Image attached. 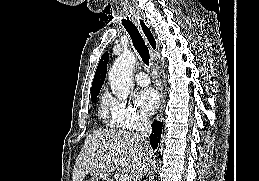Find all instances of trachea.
Returning a JSON list of instances; mask_svg holds the SVG:
<instances>
[{
	"mask_svg": "<svg viewBox=\"0 0 259 181\" xmlns=\"http://www.w3.org/2000/svg\"><path fill=\"white\" fill-rule=\"evenodd\" d=\"M124 28L128 32L133 42L135 49L137 50L138 54L140 55L143 63L149 66L150 63V51L148 46L146 45L144 39L142 38L138 28L136 25L131 22L130 20H125L122 22Z\"/></svg>",
	"mask_w": 259,
	"mask_h": 181,
	"instance_id": "obj_1",
	"label": "trachea"
}]
</instances>
